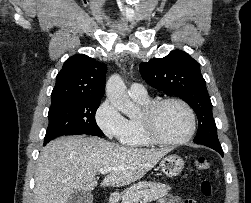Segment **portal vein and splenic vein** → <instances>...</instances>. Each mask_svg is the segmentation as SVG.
<instances>
[{"label": "portal vein and splenic vein", "instance_id": "obj_1", "mask_svg": "<svg viewBox=\"0 0 251 203\" xmlns=\"http://www.w3.org/2000/svg\"><path fill=\"white\" fill-rule=\"evenodd\" d=\"M114 170V168H111V167H104V168H101L100 169V173L101 174H108V173H110L111 171H113ZM142 203V202H141Z\"/></svg>", "mask_w": 251, "mask_h": 203}]
</instances>
